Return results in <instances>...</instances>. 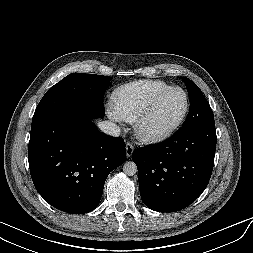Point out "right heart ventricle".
<instances>
[{"label":"right heart ventricle","instance_id":"e07e8e85","mask_svg":"<svg viewBox=\"0 0 253 253\" xmlns=\"http://www.w3.org/2000/svg\"><path fill=\"white\" fill-rule=\"evenodd\" d=\"M170 87L161 80H139L119 88L113 106L121 120L134 123L140 117L151 99L159 92Z\"/></svg>","mask_w":253,"mask_h":253}]
</instances>
